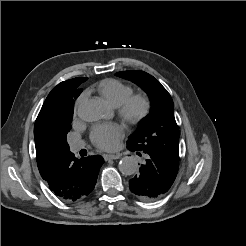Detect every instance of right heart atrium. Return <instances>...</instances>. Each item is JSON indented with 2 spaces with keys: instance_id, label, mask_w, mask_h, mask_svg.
Wrapping results in <instances>:
<instances>
[{
  "instance_id": "1",
  "label": "right heart atrium",
  "mask_w": 246,
  "mask_h": 246,
  "mask_svg": "<svg viewBox=\"0 0 246 246\" xmlns=\"http://www.w3.org/2000/svg\"><path fill=\"white\" fill-rule=\"evenodd\" d=\"M83 95H80L78 98H77V100H76V102H75V111L78 109V107L80 106V104H81V102H82V100H83Z\"/></svg>"
}]
</instances>
